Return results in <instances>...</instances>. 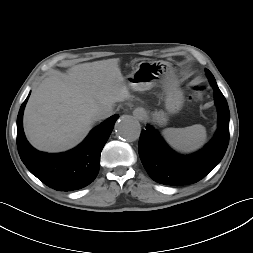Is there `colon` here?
Segmentation results:
<instances>
[{
    "mask_svg": "<svg viewBox=\"0 0 253 253\" xmlns=\"http://www.w3.org/2000/svg\"><path fill=\"white\" fill-rule=\"evenodd\" d=\"M203 93H204V87L197 86L195 88V91H194V98H195V100L199 101L202 98Z\"/></svg>",
    "mask_w": 253,
    "mask_h": 253,
    "instance_id": "colon-1",
    "label": "colon"
}]
</instances>
